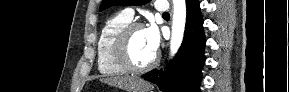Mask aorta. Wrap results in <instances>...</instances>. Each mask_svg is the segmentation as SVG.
Returning <instances> with one entry per match:
<instances>
[{"label":"aorta","instance_id":"1","mask_svg":"<svg viewBox=\"0 0 289 92\" xmlns=\"http://www.w3.org/2000/svg\"><path fill=\"white\" fill-rule=\"evenodd\" d=\"M173 21L170 40V52L174 56L182 44L186 24L185 0H173Z\"/></svg>","mask_w":289,"mask_h":92}]
</instances>
